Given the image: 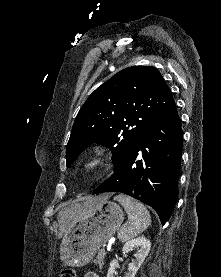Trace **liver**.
<instances>
[{"label":"liver","instance_id":"1","mask_svg":"<svg viewBox=\"0 0 221 277\" xmlns=\"http://www.w3.org/2000/svg\"><path fill=\"white\" fill-rule=\"evenodd\" d=\"M109 199V195H102L98 197L91 198L82 204H74L72 206L66 207L62 209L58 214V222H59V232L57 233V237L60 238L67 232L68 223L70 220L79 214L83 207L85 206H92L97 204L99 201ZM95 200V201H93Z\"/></svg>","mask_w":221,"mask_h":277}]
</instances>
